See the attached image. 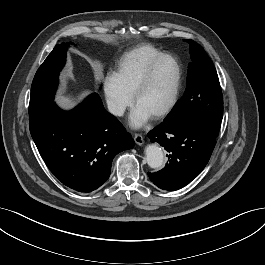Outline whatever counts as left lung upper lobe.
I'll list each match as a JSON object with an SVG mask.
<instances>
[{"mask_svg": "<svg viewBox=\"0 0 265 265\" xmlns=\"http://www.w3.org/2000/svg\"><path fill=\"white\" fill-rule=\"evenodd\" d=\"M190 44L187 87L163 122L193 120L218 135L223 118V98L216 69L205 50L196 42Z\"/></svg>", "mask_w": 265, "mask_h": 265, "instance_id": "5c2ea615", "label": "left lung upper lobe"}]
</instances>
